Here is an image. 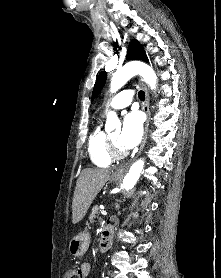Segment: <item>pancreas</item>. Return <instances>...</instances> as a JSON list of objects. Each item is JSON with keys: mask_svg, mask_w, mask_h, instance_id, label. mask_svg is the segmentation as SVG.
Listing matches in <instances>:
<instances>
[{"mask_svg": "<svg viewBox=\"0 0 221 278\" xmlns=\"http://www.w3.org/2000/svg\"><path fill=\"white\" fill-rule=\"evenodd\" d=\"M100 208L98 206L93 207L91 215H90V219H94L97 218V215L99 213Z\"/></svg>", "mask_w": 221, "mask_h": 278, "instance_id": "pancreas-1", "label": "pancreas"}]
</instances>
